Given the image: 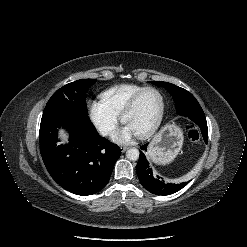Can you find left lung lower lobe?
<instances>
[{"mask_svg":"<svg viewBox=\"0 0 247 247\" xmlns=\"http://www.w3.org/2000/svg\"><path fill=\"white\" fill-rule=\"evenodd\" d=\"M199 127V133L203 137L205 143L208 142V128L206 119L198 121L196 124ZM143 151H146L147 144L141 146ZM136 172L142 186L149 192L157 195H170L185 187L189 182L181 184L165 183L162 178L155 174L149 162L146 159L144 152H140L139 161L136 166Z\"/></svg>","mask_w":247,"mask_h":247,"instance_id":"obj_1","label":"left lung lower lobe"}]
</instances>
